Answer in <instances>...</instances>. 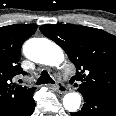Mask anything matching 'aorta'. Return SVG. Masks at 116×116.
I'll use <instances>...</instances> for the list:
<instances>
[{
	"label": "aorta",
	"mask_w": 116,
	"mask_h": 116,
	"mask_svg": "<svg viewBox=\"0 0 116 116\" xmlns=\"http://www.w3.org/2000/svg\"><path fill=\"white\" fill-rule=\"evenodd\" d=\"M23 53L28 59L48 66H58L65 58L63 50L45 38L29 39L23 46ZM80 104L81 96L76 92L68 93L63 98V106L67 111H77Z\"/></svg>",
	"instance_id": "aorta-1"
}]
</instances>
